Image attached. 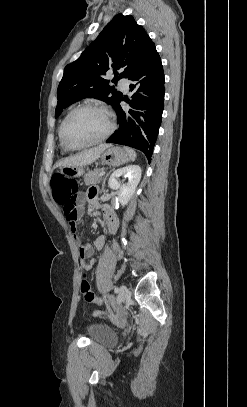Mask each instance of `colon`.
Segmentation results:
<instances>
[{
  "instance_id": "5ec220e1",
  "label": "colon",
  "mask_w": 247,
  "mask_h": 407,
  "mask_svg": "<svg viewBox=\"0 0 247 407\" xmlns=\"http://www.w3.org/2000/svg\"><path fill=\"white\" fill-rule=\"evenodd\" d=\"M53 198L57 203H63L74 197L78 191L76 180L67 178L63 174H55L51 179ZM80 292L86 302L105 304L106 300L95 295L92 291L87 275L84 274L80 282Z\"/></svg>"
}]
</instances>
